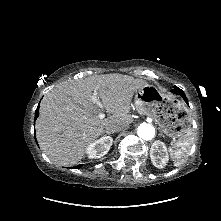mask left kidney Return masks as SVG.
Listing matches in <instances>:
<instances>
[{"instance_id": "1", "label": "left kidney", "mask_w": 221, "mask_h": 221, "mask_svg": "<svg viewBox=\"0 0 221 221\" xmlns=\"http://www.w3.org/2000/svg\"><path fill=\"white\" fill-rule=\"evenodd\" d=\"M150 157L155 167L164 168L169 160L166 145L162 141H155L150 149Z\"/></svg>"}]
</instances>
